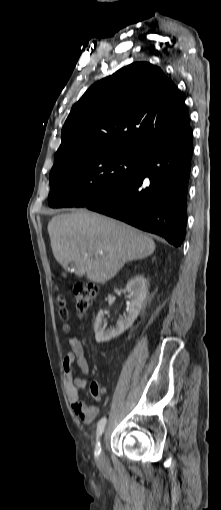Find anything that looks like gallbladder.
Returning <instances> with one entry per match:
<instances>
[{
	"instance_id": "1",
	"label": "gallbladder",
	"mask_w": 221,
	"mask_h": 510,
	"mask_svg": "<svg viewBox=\"0 0 221 510\" xmlns=\"http://www.w3.org/2000/svg\"><path fill=\"white\" fill-rule=\"evenodd\" d=\"M73 266H74V264H72V263H71V264L69 265V268L71 269Z\"/></svg>"
}]
</instances>
